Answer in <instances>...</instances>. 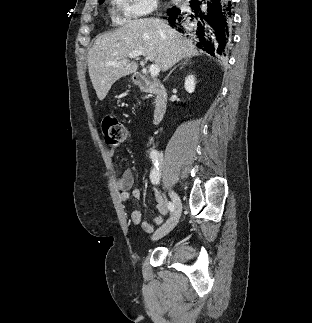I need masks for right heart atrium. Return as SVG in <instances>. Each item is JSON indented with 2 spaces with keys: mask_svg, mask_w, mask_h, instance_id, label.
Instances as JSON below:
<instances>
[{
  "mask_svg": "<svg viewBox=\"0 0 312 323\" xmlns=\"http://www.w3.org/2000/svg\"><path fill=\"white\" fill-rule=\"evenodd\" d=\"M162 0H122L120 9L128 17H143L144 13H157L162 9Z\"/></svg>",
  "mask_w": 312,
  "mask_h": 323,
  "instance_id": "1",
  "label": "right heart atrium"
}]
</instances>
